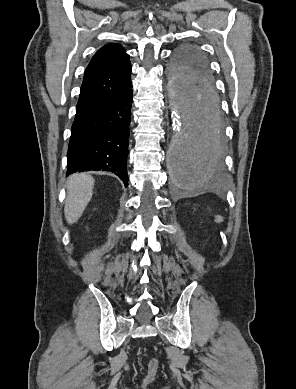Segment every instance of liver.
<instances>
[{"label": "liver", "mask_w": 296, "mask_h": 389, "mask_svg": "<svg viewBox=\"0 0 296 389\" xmlns=\"http://www.w3.org/2000/svg\"><path fill=\"white\" fill-rule=\"evenodd\" d=\"M94 179L86 173H77L67 181V198L65 201V218L69 224L75 223L82 216L92 198Z\"/></svg>", "instance_id": "6515ba94"}]
</instances>
